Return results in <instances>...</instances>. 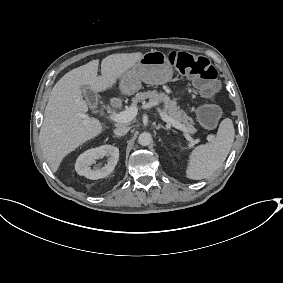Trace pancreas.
<instances>
[{
    "label": "pancreas",
    "mask_w": 283,
    "mask_h": 283,
    "mask_svg": "<svg viewBox=\"0 0 283 283\" xmlns=\"http://www.w3.org/2000/svg\"><path fill=\"white\" fill-rule=\"evenodd\" d=\"M146 99H149V103L153 106L163 103L164 112L168 114L169 117L179 123H183L190 133H195L197 131L193 126V119L187 116L183 110H180L176 102L171 100L165 93H158L156 90L139 92L132 98V103L133 105H137L138 102H144ZM116 106H121L120 100L116 101Z\"/></svg>",
    "instance_id": "pancreas-1"
}]
</instances>
